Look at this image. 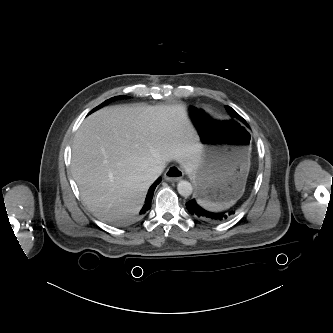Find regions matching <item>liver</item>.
<instances>
[{
  "instance_id": "liver-1",
  "label": "liver",
  "mask_w": 333,
  "mask_h": 333,
  "mask_svg": "<svg viewBox=\"0 0 333 333\" xmlns=\"http://www.w3.org/2000/svg\"><path fill=\"white\" fill-rule=\"evenodd\" d=\"M182 105L117 106L84 120L72 145L71 170L83 201L110 221L133 218L142 208L150 167L176 160L193 173L202 145Z\"/></svg>"
}]
</instances>
